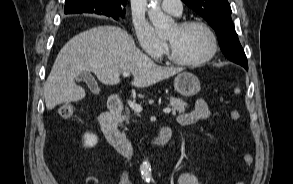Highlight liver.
I'll list each match as a JSON object with an SVG mask.
<instances>
[{"label":"liver","instance_id":"obj_1","mask_svg":"<svg viewBox=\"0 0 293 184\" xmlns=\"http://www.w3.org/2000/svg\"><path fill=\"white\" fill-rule=\"evenodd\" d=\"M182 68L156 65L135 45L124 29L104 25L91 28L70 39L60 50L44 84L46 108L54 109L64 102H77L85 91L75 83L84 72H93L106 85H116L120 74L132 73V84L148 87L167 79Z\"/></svg>","mask_w":293,"mask_h":184}]
</instances>
